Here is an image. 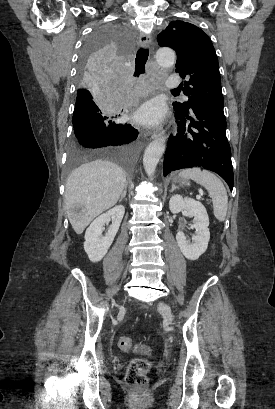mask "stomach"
Instances as JSON below:
<instances>
[{
	"label": "stomach",
	"instance_id": "stomach-1",
	"mask_svg": "<svg viewBox=\"0 0 275 409\" xmlns=\"http://www.w3.org/2000/svg\"><path fill=\"white\" fill-rule=\"evenodd\" d=\"M174 182H181V184H187L188 180H185V178H174Z\"/></svg>",
	"mask_w": 275,
	"mask_h": 409
}]
</instances>
